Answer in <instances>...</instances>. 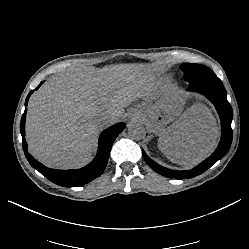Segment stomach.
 <instances>
[{"label": "stomach", "mask_w": 249, "mask_h": 249, "mask_svg": "<svg viewBox=\"0 0 249 249\" xmlns=\"http://www.w3.org/2000/svg\"><path fill=\"white\" fill-rule=\"evenodd\" d=\"M185 97L177 94L169 85L158 87L153 97L146 105V116L150 123L157 128H164L172 123Z\"/></svg>", "instance_id": "stomach-1"}]
</instances>
